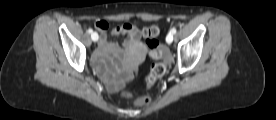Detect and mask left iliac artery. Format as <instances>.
<instances>
[{"label": "left iliac artery", "mask_w": 276, "mask_h": 120, "mask_svg": "<svg viewBox=\"0 0 276 120\" xmlns=\"http://www.w3.org/2000/svg\"><path fill=\"white\" fill-rule=\"evenodd\" d=\"M176 31H177L176 28H172L171 31H170V33L175 34Z\"/></svg>", "instance_id": "1"}]
</instances>
